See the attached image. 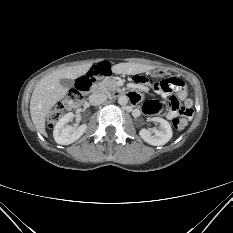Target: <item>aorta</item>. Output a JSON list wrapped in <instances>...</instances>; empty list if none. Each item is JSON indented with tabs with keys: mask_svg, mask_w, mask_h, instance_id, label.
<instances>
[{
	"mask_svg": "<svg viewBox=\"0 0 233 233\" xmlns=\"http://www.w3.org/2000/svg\"><path fill=\"white\" fill-rule=\"evenodd\" d=\"M118 103L120 105H126L128 103V97L126 95H122L118 98Z\"/></svg>",
	"mask_w": 233,
	"mask_h": 233,
	"instance_id": "obj_1",
	"label": "aorta"
}]
</instances>
